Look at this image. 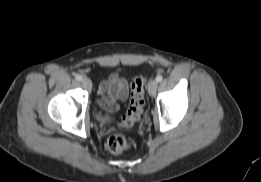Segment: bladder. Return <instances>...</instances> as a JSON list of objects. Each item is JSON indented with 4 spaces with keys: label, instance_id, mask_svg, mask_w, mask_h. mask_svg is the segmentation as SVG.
I'll return each instance as SVG.
<instances>
[{
    "label": "bladder",
    "instance_id": "obj_1",
    "mask_svg": "<svg viewBox=\"0 0 261 182\" xmlns=\"http://www.w3.org/2000/svg\"><path fill=\"white\" fill-rule=\"evenodd\" d=\"M95 118L99 122H102V123L110 121V117L109 116H106V115H103V114H100V113H96L95 114Z\"/></svg>",
    "mask_w": 261,
    "mask_h": 182
}]
</instances>
